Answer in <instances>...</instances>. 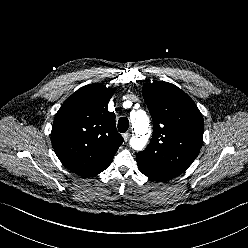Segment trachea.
I'll return each mask as SVG.
<instances>
[{"mask_svg": "<svg viewBox=\"0 0 248 248\" xmlns=\"http://www.w3.org/2000/svg\"><path fill=\"white\" fill-rule=\"evenodd\" d=\"M129 127V120L126 117H121L118 121V130L121 133H124L127 131Z\"/></svg>", "mask_w": 248, "mask_h": 248, "instance_id": "trachea-1", "label": "trachea"}]
</instances>
